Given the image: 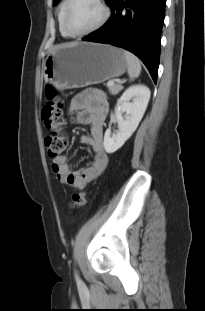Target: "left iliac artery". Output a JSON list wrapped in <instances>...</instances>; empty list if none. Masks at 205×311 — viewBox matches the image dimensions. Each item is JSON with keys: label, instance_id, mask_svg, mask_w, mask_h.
<instances>
[{"label": "left iliac artery", "instance_id": "1", "mask_svg": "<svg viewBox=\"0 0 205 311\" xmlns=\"http://www.w3.org/2000/svg\"><path fill=\"white\" fill-rule=\"evenodd\" d=\"M75 278H76V280H77L78 282L81 281L77 273H75Z\"/></svg>", "mask_w": 205, "mask_h": 311}]
</instances>
